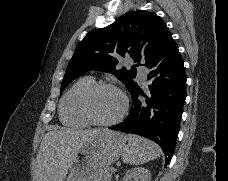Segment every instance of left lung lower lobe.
Instances as JSON below:
<instances>
[{
	"label": "left lung lower lobe",
	"instance_id": "left-lung-lower-lobe-1",
	"mask_svg": "<svg viewBox=\"0 0 228 181\" xmlns=\"http://www.w3.org/2000/svg\"><path fill=\"white\" fill-rule=\"evenodd\" d=\"M151 85L131 90L132 107L126 119L109 129L133 133L156 142L170 161L179 132L186 98V75L178 46L172 36L144 64Z\"/></svg>",
	"mask_w": 228,
	"mask_h": 181
}]
</instances>
